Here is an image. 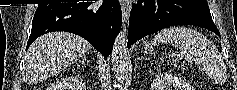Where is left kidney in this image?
Wrapping results in <instances>:
<instances>
[{
    "instance_id": "left-kidney-1",
    "label": "left kidney",
    "mask_w": 237,
    "mask_h": 90,
    "mask_svg": "<svg viewBox=\"0 0 237 90\" xmlns=\"http://www.w3.org/2000/svg\"><path fill=\"white\" fill-rule=\"evenodd\" d=\"M152 90H193L191 84L173 74H160L152 82Z\"/></svg>"
}]
</instances>
